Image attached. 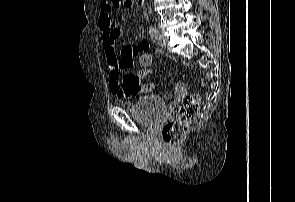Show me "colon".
<instances>
[{
  "label": "colon",
  "mask_w": 295,
  "mask_h": 202,
  "mask_svg": "<svg viewBox=\"0 0 295 202\" xmlns=\"http://www.w3.org/2000/svg\"><path fill=\"white\" fill-rule=\"evenodd\" d=\"M115 7L133 5V0H112ZM145 43V42H143ZM152 52H140L138 65L146 70H136V75H151V65L154 64ZM109 62V61H108ZM122 90L131 92L133 90H157V85L153 82H143L134 74H126L122 80ZM175 90L182 93L184 86L178 82L175 84ZM200 106V96L198 94H190L188 98H181L174 108L173 117L167 121L161 132L163 141L168 145H176L187 133L188 126L196 117Z\"/></svg>",
  "instance_id": "5ec220e1"
}]
</instances>
